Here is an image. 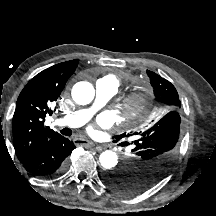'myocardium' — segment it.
Instances as JSON below:
<instances>
[{"label": "myocardium", "instance_id": "myocardium-1", "mask_svg": "<svg viewBox=\"0 0 216 216\" xmlns=\"http://www.w3.org/2000/svg\"><path fill=\"white\" fill-rule=\"evenodd\" d=\"M148 96L145 90H138L128 95L123 104L124 118L127 120L140 119L147 110Z\"/></svg>", "mask_w": 216, "mask_h": 216}]
</instances>
